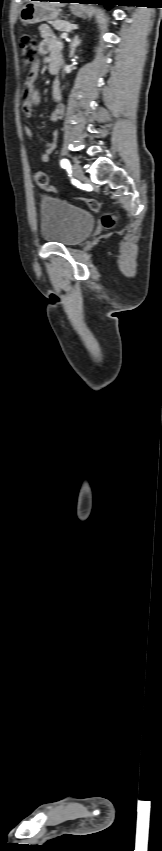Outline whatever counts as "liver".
I'll return each mask as SVG.
<instances>
[{
  "instance_id": "liver-1",
  "label": "liver",
  "mask_w": 162,
  "mask_h": 851,
  "mask_svg": "<svg viewBox=\"0 0 162 851\" xmlns=\"http://www.w3.org/2000/svg\"><path fill=\"white\" fill-rule=\"evenodd\" d=\"M36 3H40V4H42L43 6H46V7H54V8L65 6V3H61V2H36Z\"/></svg>"
}]
</instances>
